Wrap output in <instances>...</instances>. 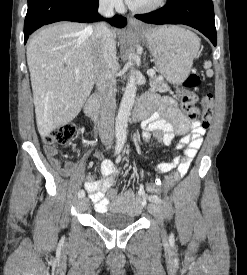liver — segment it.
Masks as SVG:
<instances>
[{"instance_id":"1","label":"liver","mask_w":247,"mask_h":275,"mask_svg":"<svg viewBox=\"0 0 247 275\" xmlns=\"http://www.w3.org/2000/svg\"><path fill=\"white\" fill-rule=\"evenodd\" d=\"M115 39L119 33L113 32ZM88 26L60 22L36 33L27 46L39 134L71 122L95 83V55ZM79 69V72H75Z\"/></svg>"}]
</instances>
